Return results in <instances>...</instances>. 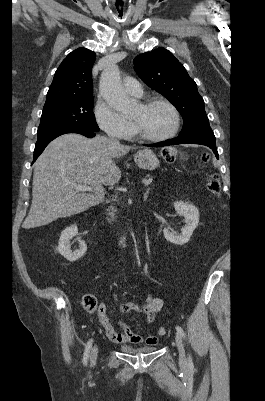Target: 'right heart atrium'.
Masks as SVG:
<instances>
[{"label":"right heart atrium","mask_w":265,"mask_h":401,"mask_svg":"<svg viewBox=\"0 0 265 401\" xmlns=\"http://www.w3.org/2000/svg\"><path fill=\"white\" fill-rule=\"evenodd\" d=\"M95 120L100 129L112 138L129 137L134 132L131 122L124 120L120 113L104 99H99L94 108Z\"/></svg>","instance_id":"right-heart-atrium-1"}]
</instances>
